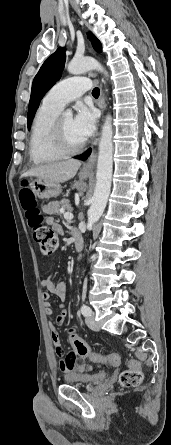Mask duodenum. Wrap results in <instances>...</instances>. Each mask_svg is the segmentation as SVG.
I'll return each instance as SVG.
<instances>
[{
  "instance_id": "duodenum-1",
  "label": "duodenum",
  "mask_w": 171,
  "mask_h": 445,
  "mask_svg": "<svg viewBox=\"0 0 171 445\" xmlns=\"http://www.w3.org/2000/svg\"><path fill=\"white\" fill-rule=\"evenodd\" d=\"M74 246H75V249L77 251H81L82 250V248H83V240H82L81 236H79V235H75L74 236Z\"/></svg>"
}]
</instances>
